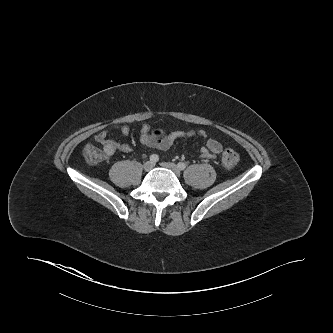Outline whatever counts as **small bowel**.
Instances as JSON below:
<instances>
[{"instance_id":"1","label":"small bowel","mask_w":333,"mask_h":333,"mask_svg":"<svg viewBox=\"0 0 333 333\" xmlns=\"http://www.w3.org/2000/svg\"><path fill=\"white\" fill-rule=\"evenodd\" d=\"M119 132L127 136L130 133V128L126 125L118 127ZM109 131L103 130L95 135V141L105 145L106 155L111 157L116 151L124 153L131 152V147L127 144H118L109 140ZM194 137H200L205 140L204 147L201 148L199 158L203 160L215 159L222 151V145L216 139L209 137L204 130H186V131H174L162 138H155L150 135L149 127L143 126L141 128L140 141L146 148H154L158 150H168L172 147L175 140L178 138L191 139Z\"/></svg>"}]
</instances>
